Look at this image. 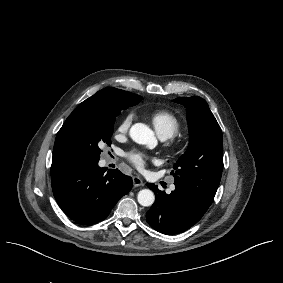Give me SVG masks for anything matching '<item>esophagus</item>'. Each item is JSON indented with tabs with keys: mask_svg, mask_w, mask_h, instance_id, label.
<instances>
[{
	"mask_svg": "<svg viewBox=\"0 0 283 283\" xmlns=\"http://www.w3.org/2000/svg\"><path fill=\"white\" fill-rule=\"evenodd\" d=\"M144 183L143 181L141 180V178H139L138 176H134L133 177V185L135 187H139V186H142Z\"/></svg>",
	"mask_w": 283,
	"mask_h": 283,
	"instance_id": "1",
	"label": "esophagus"
}]
</instances>
